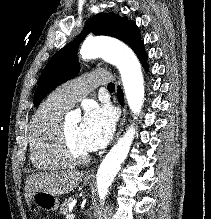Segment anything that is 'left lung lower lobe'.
<instances>
[{"instance_id": "obj_1", "label": "left lung lower lobe", "mask_w": 211, "mask_h": 219, "mask_svg": "<svg viewBox=\"0 0 211 219\" xmlns=\"http://www.w3.org/2000/svg\"><path fill=\"white\" fill-rule=\"evenodd\" d=\"M136 55L139 57V59L142 61L143 67L148 70V65L146 63V53L143 47V41L140 42L138 47L134 50ZM118 99L121 104H123V93L120 88H118Z\"/></svg>"}]
</instances>
